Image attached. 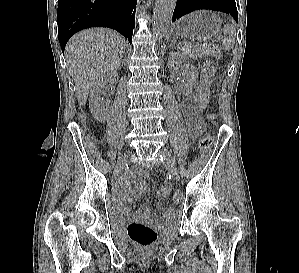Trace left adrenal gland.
Masks as SVG:
<instances>
[{
  "instance_id": "1",
  "label": "left adrenal gland",
  "mask_w": 299,
  "mask_h": 273,
  "mask_svg": "<svg viewBox=\"0 0 299 273\" xmlns=\"http://www.w3.org/2000/svg\"><path fill=\"white\" fill-rule=\"evenodd\" d=\"M175 44H176V41H175V39H173V40H172L171 47L174 48V47H175Z\"/></svg>"
}]
</instances>
